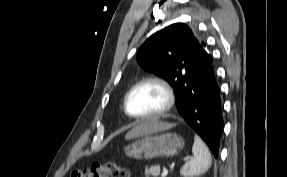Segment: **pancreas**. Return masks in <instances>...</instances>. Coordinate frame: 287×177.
<instances>
[{
	"instance_id": "cf45deb5",
	"label": "pancreas",
	"mask_w": 287,
	"mask_h": 177,
	"mask_svg": "<svg viewBox=\"0 0 287 177\" xmlns=\"http://www.w3.org/2000/svg\"><path fill=\"white\" fill-rule=\"evenodd\" d=\"M160 174V167L159 166H152L150 168H145V176L146 177H157Z\"/></svg>"
}]
</instances>
